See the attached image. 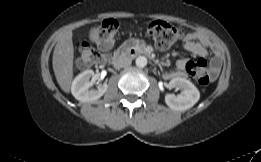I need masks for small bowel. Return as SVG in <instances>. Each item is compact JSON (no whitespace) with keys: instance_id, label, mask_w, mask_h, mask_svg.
<instances>
[{"instance_id":"c3829d8e","label":"small bowel","mask_w":261,"mask_h":162,"mask_svg":"<svg viewBox=\"0 0 261 162\" xmlns=\"http://www.w3.org/2000/svg\"><path fill=\"white\" fill-rule=\"evenodd\" d=\"M197 39H198V37L195 34H189L185 38L184 43H183L184 50L193 55H196V56H199L202 58H207L209 56L208 49L204 45L200 44L197 41ZM190 63H191L190 60L182 59L178 62V65L180 68H185V67H188Z\"/></svg>"}]
</instances>
